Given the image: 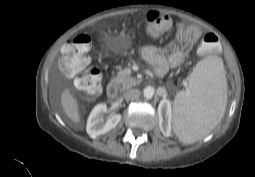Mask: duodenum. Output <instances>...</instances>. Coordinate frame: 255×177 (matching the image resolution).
Instances as JSON below:
<instances>
[{"instance_id":"obj_1","label":"duodenum","mask_w":255,"mask_h":177,"mask_svg":"<svg viewBox=\"0 0 255 177\" xmlns=\"http://www.w3.org/2000/svg\"><path fill=\"white\" fill-rule=\"evenodd\" d=\"M107 95L110 99H116L117 97V87L113 83H108L106 88Z\"/></svg>"}]
</instances>
